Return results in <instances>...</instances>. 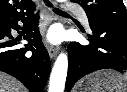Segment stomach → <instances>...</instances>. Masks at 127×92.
I'll return each instance as SVG.
<instances>
[{
  "instance_id": "stomach-1",
  "label": "stomach",
  "mask_w": 127,
  "mask_h": 92,
  "mask_svg": "<svg viewBox=\"0 0 127 92\" xmlns=\"http://www.w3.org/2000/svg\"><path fill=\"white\" fill-rule=\"evenodd\" d=\"M127 80L113 70L99 71L80 84L79 92H123Z\"/></svg>"
}]
</instances>
